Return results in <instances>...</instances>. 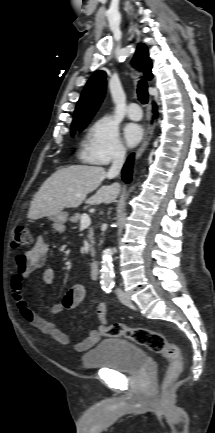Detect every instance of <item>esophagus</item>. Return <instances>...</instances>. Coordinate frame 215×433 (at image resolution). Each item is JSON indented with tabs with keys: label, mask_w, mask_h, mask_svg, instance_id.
Listing matches in <instances>:
<instances>
[{
	"label": "esophagus",
	"mask_w": 215,
	"mask_h": 433,
	"mask_svg": "<svg viewBox=\"0 0 215 433\" xmlns=\"http://www.w3.org/2000/svg\"><path fill=\"white\" fill-rule=\"evenodd\" d=\"M152 134H153V127L151 126V127L149 128V130L147 131V133H146V135H145V138H144V140H143L141 146H140V147L138 148V150L136 151L135 159L140 158L141 155L144 153V151H145V149H146L147 145L149 144V141H150V139H151V137H152Z\"/></svg>",
	"instance_id": "esophagus-1"
}]
</instances>
